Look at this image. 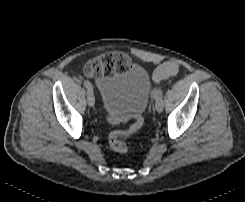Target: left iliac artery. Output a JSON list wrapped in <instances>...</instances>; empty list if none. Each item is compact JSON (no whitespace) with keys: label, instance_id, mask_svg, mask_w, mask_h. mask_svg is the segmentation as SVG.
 I'll return each instance as SVG.
<instances>
[{"label":"left iliac artery","instance_id":"44dca946","mask_svg":"<svg viewBox=\"0 0 245 202\" xmlns=\"http://www.w3.org/2000/svg\"><path fill=\"white\" fill-rule=\"evenodd\" d=\"M153 99L157 102L158 100H162V91L157 90L154 92Z\"/></svg>","mask_w":245,"mask_h":202}]
</instances>
